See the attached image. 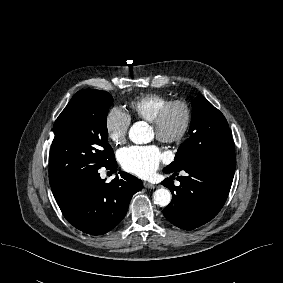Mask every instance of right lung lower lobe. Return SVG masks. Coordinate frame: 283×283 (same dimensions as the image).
<instances>
[{"mask_svg": "<svg viewBox=\"0 0 283 283\" xmlns=\"http://www.w3.org/2000/svg\"><path fill=\"white\" fill-rule=\"evenodd\" d=\"M105 167L115 172V158ZM119 173L120 177L117 175L110 183H105L97 169L51 187L67 221L90 235L112 230L124 218L131 197L142 189L141 180L125 172Z\"/></svg>", "mask_w": 283, "mask_h": 283, "instance_id": "obj_1", "label": "right lung lower lobe"}]
</instances>
